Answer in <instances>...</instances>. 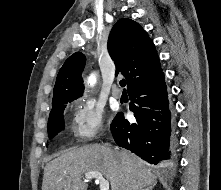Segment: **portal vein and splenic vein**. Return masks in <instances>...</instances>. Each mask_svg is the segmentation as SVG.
<instances>
[{
  "label": "portal vein and splenic vein",
  "mask_w": 221,
  "mask_h": 190,
  "mask_svg": "<svg viewBox=\"0 0 221 190\" xmlns=\"http://www.w3.org/2000/svg\"><path fill=\"white\" fill-rule=\"evenodd\" d=\"M95 178L100 183V190H109V181L104 179L103 175L99 172L92 171L85 174V179Z\"/></svg>",
  "instance_id": "1"
}]
</instances>
